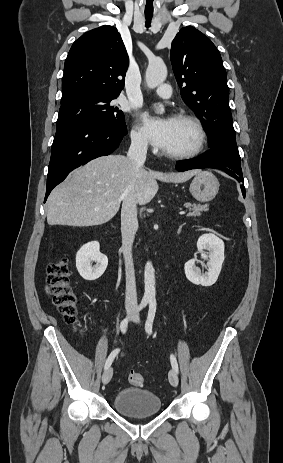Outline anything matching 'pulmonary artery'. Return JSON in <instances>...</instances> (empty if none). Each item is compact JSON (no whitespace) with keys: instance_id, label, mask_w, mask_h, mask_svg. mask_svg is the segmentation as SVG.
I'll use <instances>...</instances> for the list:
<instances>
[{"instance_id":"obj_1","label":"pulmonary artery","mask_w":283,"mask_h":463,"mask_svg":"<svg viewBox=\"0 0 283 463\" xmlns=\"http://www.w3.org/2000/svg\"><path fill=\"white\" fill-rule=\"evenodd\" d=\"M155 93L157 96H159L162 99H170L172 96L171 86L168 84H163L155 90Z\"/></svg>"}]
</instances>
